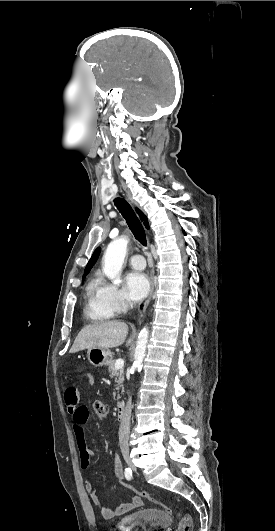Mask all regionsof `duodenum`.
Returning <instances> with one entry per match:
<instances>
[{"label": "duodenum", "instance_id": "1", "mask_svg": "<svg viewBox=\"0 0 275 531\" xmlns=\"http://www.w3.org/2000/svg\"><path fill=\"white\" fill-rule=\"evenodd\" d=\"M126 409V403L124 401H121L117 404L116 410L119 418H122L125 414Z\"/></svg>", "mask_w": 275, "mask_h": 531}]
</instances>
